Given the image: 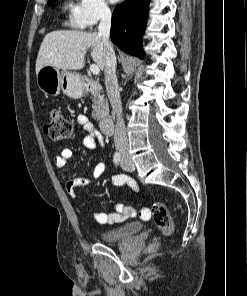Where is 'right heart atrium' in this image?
Returning a JSON list of instances; mask_svg holds the SVG:
<instances>
[{"label": "right heart atrium", "mask_w": 247, "mask_h": 296, "mask_svg": "<svg viewBox=\"0 0 247 296\" xmlns=\"http://www.w3.org/2000/svg\"><path fill=\"white\" fill-rule=\"evenodd\" d=\"M111 16L106 0H76L70 13L71 23L81 28H92Z\"/></svg>", "instance_id": "right-heart-atrium-1"}]
</instances>
